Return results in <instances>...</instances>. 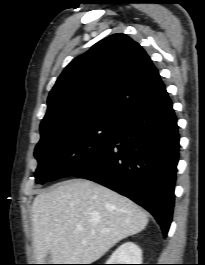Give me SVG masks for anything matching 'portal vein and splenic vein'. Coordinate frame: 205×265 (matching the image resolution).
<instances>
[{"mask_svg":"<svg viewBox=\"0 0 205 265\" xmlns=\"http://www.w3.org/2000/svg\"><path fill=\"white\" fill-rule=\"evenodd\" d=\"M79 230H82V227H78Z\"/></svg>","mask_w":205,"mask_h":265,"instance_id":"portal-vein-and-splenic-vein-1","label":"portal vein and splenic vein"}]
</instances>
